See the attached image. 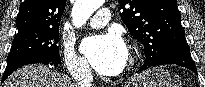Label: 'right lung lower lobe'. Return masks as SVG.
Returning a JSON list of instances; mask_svg holds the SVG:
<instances>
[{
  "mask_svg": "<svg viewBox=\"0 0 205 87\" xmlns=\"http://www.w3.org/2000/svg\"><path fill=\"white\" fill-rule=\"evenodd\" d=\"M33 63H42L45 65H55L56 63H53L51 61H48L46 59H42L36 56H29V55H20V56H11L8 57L7 67L4 71L2 82L16 69H18L21 66L27 65V64H33Z\"/></svg>",
  "mask_w": 205,
  "mask_h": 87,
  "instance_id": "1",
  "label": "right lung lower lobe"
}]
</instances>
